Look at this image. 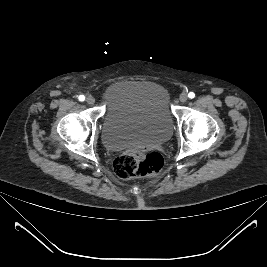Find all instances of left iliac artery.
Returning <instances> with one entry per match:
<instances>
[{"label":"left iliac artery","instance_id":"44dca946","mask_svg":"<svg viewBox=\"0 0 267 267\" xmlns=\"http://www.w3.org/2000/svg\"><path fill=\"white\" fill-rule=\"evenodd\" d=\"M194 96H195V94H194L193 92H190V93L188 94V97H189V98H194Z\"/></svg>","mask_w":267,"mask_h":267}]
</instances>
